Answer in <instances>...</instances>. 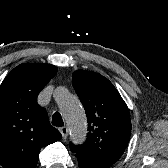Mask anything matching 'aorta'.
Returning a JSON list of instances; mask_svg holds the SVG:
<instances>
[{
  "label": "aorta",
  "mask_w": 168,
  "mask_h": 168,
  "mask_svg": "<svg viewBox=\"0 0 168 168\" xmlns=\"http://www.w3.org/2000/svg\"><path fill=\"white\" fill-rule=\"evenodd\" d=\"M54 98L69 126L71 140L75 144L82 143L86 137L87 123L77 96L71 94L65 87H57L54 91Z\"/></svg>",
  "instance_id": "obj_1"
}]
</instances>
